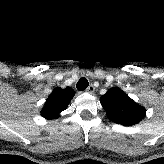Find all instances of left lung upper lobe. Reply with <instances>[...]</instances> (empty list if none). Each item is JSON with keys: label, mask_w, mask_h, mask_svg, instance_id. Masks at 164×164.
Here are the masks:
<instances>
[{"label": "left lung upper lobe", "mask_w": 164, "mask_h": 164, "mask_svg": "<svg viewBox=\"0 0 164 164\" xmlns=\"http://www.w3.org/2000/svg\"><path fill=\"white\" fill-rule=\"evenodd\" d=\"M100 102L110 120L123 126H132L140 122L146 110L135 103L119 88H111L104 94Z\"/></svg>", "instance_id": "obj_1"}]
</instances>
